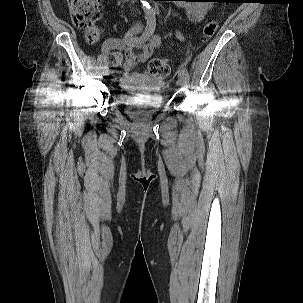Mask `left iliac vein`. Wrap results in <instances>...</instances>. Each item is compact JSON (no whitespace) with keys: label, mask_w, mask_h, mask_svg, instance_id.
<instances>
[{"label":"left iliac vein","mask_w":303,"mask_h":303,"mask_svg":"<svg viewBox=\"0 0 303 303\" xmlns=\"http://www.w3.org/2000/svg\"><path fill=\"white\" fill-rule=\"evenodd\" d=\"M178 80H177V84L179 86H185L187 83H188V79L186 77V74L181 70L179 72V75H178Z\"/></svg>","instance_id":"4c4485c4"}]
</instances>
